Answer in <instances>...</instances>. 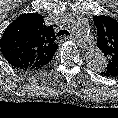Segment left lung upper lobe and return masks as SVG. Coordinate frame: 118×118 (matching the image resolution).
Masks as SVG:
<instances>
[{
	"label": "left lung upper lobe",
	"instance_id": "1",
	"mask_svg": "<svg viewBox=\"0 0 118 118\" xmlns=\"http://www.w3.org/2000/svg\"><path fill=\"white\" fill-rule=\"evenodd\" d=\"M97 27V47L107 58L106 77L118 76V22L108 16L93 17Z\"/></svg>",
	"mask_w": 118,
	"mask_h": 118
}]
</instances>
